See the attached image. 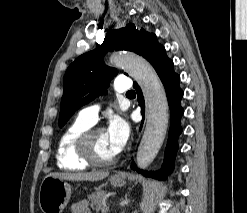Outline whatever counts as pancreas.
<instances>
[{
    "label": "pancreas",
    "mask_w": 247,
    "mask_h": 213,
    "mask_svg": "<svg viewBox=\"0 0 247 213\" xmlns=\"http://www.w3.org/2000/svg\"><path fill=\"white\" fill-rule=\"evenodd\" d=\"M106 192L104 191H98L92 193L90 196H88V200L90 201V206L92 209L98 211L103 208L106 200Z\"/></svg>",
    "instance_id": "obj_1"
}]
</instances>
